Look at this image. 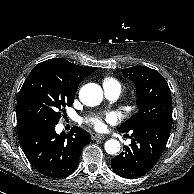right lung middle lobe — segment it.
<instances>
[{"label": "right lung middle lobe", "mask_w": 194, "mask_h": 194, "mask_svg": "<svg viewBox=\"0 0 194 194\" xmlns=\"http://www.w3.org/2000/svg\"><path fill=\"white\" fill-rule=\"evenodd\" d=\"M75 94L51 69L35 66L19 92L17 122L56 125Z\"/></svg>", "instance_id": "1"}]
</instances>
